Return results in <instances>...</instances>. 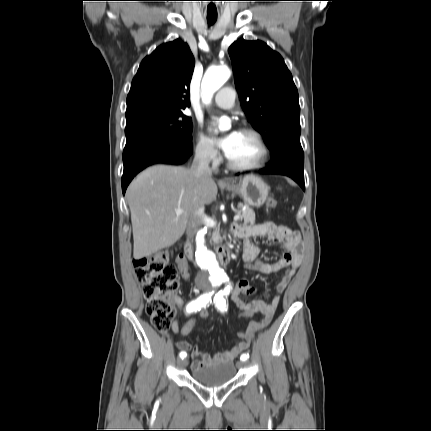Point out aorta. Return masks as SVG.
<instances>
[{
	"instance_id": "aorta-1",
	"label": "aorta",
	"mask_w": 431,
	"mask_h": 431,
	"mask_svg": "<svg viewBox=\"0 0 431 431\" xmlns=\"http://www.w3.org/2000/svg\"><path fill=\"white\" fill-rule=\"evenodd\" d=\"M231 72L227 66L210 67L204 74L201 88L203 93L204 103H209L212 95L222 87L229 79ZM225 123L220 124V129H226ZM209 230L202 228L197 232V245L195 258L197 264L207 273L206 279L209 285H218L226 280V273L219 266L216 255L207 246V238Z\"/></svg>"
}]
</instances>
